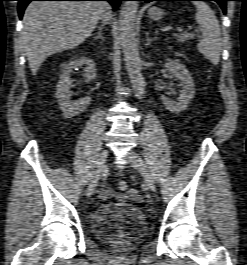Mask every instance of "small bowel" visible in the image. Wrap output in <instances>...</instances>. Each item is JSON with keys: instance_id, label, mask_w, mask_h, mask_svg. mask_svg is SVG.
<instances>
[{"instance_id": "small-bowel-1", "label": "small bowel", "mask_w": 247, "mask_h": 265, "mask_svg": "<svg viewBox=\"0 0 247 265\" xmlns=\"http://www.w3.org/2000/svg\"><path fill=\"white\" fill-rule=\"evenodd\" d=\"M101 197L103 199L118 198L126 202H140L142 200L137 189L134 188H131L123 193H117L111 189H103L101 191Z\"/></svg>"}]
</instances>
